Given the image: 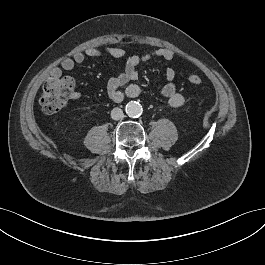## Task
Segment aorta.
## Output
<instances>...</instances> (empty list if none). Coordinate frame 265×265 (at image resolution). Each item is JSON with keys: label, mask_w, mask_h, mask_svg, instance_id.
<instances>
[{"label": "aorta", "mask_w": 265, "mask_h": 265, "mask_svg": "<svg viewBox=\"0 0 265 265\" xmlns=\"http://www.w3.org/2000/svg\"><path fill=\"white\" fill-rule=\"evenodd\" d=\"M125 111L129 117H139L142 114L143 108L140 103L130 101L127 103Z\"/></svg>", "instance_id": "1"}]
</instances>
